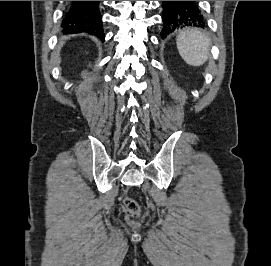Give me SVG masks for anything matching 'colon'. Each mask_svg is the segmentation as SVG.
I'll return each mask as SVG.
<instances>
[{
  "label": "colon",
  "instance_id": "colon-1",
  "mask_svg": "<svg viewBox=\"0 0 271 266\" xmlns=\"http://www.w3.org/2000/svg\"><path fill=\"white\" fill-rule=\"evenodd\" d=\"M123 207L126 212L134 217L137 218L140 215V206L139 204L131 197L126 196L123 199Z\"/></svg>",
  "mask_w": 271,
  "mask_h": 266
}]
</instances>
